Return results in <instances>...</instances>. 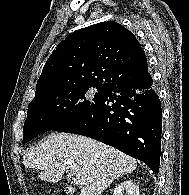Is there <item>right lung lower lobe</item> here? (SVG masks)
<instances>
[{"label":"right lung lower lobe","mask_w":189,"mask_h":195,"mask_svg":"<svg viewBox=\"0 0 189 195\" xmlns=\"http://www.w3.org/2000/svg\"><path fill=\"white\" fill-rule=\"evenodd\" d=\"M53 131L84 135L143 161L159 172L162 109L148 72L107 89L90 109Z\"/></svg>","instance_id":"98d812e1"}]
</instances>
